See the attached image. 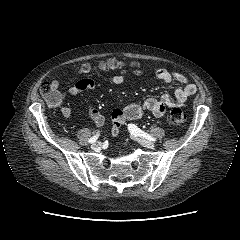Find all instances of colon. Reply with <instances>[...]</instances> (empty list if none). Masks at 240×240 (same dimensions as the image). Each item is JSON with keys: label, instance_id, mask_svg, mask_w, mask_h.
I'll use <instances>...</instances> for the list:
<instances>
[{"label": "colon", "instance_id": "obj_1", "mask_svg": "<svg viewBox=\"0 0 240 240\" xmlns=\"http://www.w3.org/2000/svg\"><path fill=\"white\" fill-rule=\"evenodd\" d=\"M96 70L112 71V72H120V73H125L128 71H131L135 74L141 73L139 64H137L136 62L127 63L114 58L106 61H102L101 63L95 66L90 64H85L81 67L80 71L83 74H89ZM41 93L50 106L57 107L60 105L59 97L50 82H45L42 84ZM185 120H186V114L180 108H175L170 112L169 121L171 122V124L175 126H180L185 122Z\"/></svg>", "mask_w": 240, "mask_h": 240}]
</instances>
